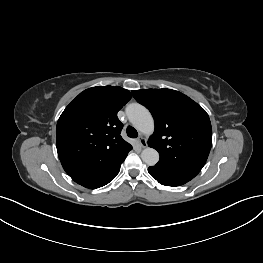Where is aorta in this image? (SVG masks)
<instances>
[{"label":"aorta","mask_w":263,"mask_h":263,"mask_svg":"<svg viewBox=\"0 0 263 263\" xmlns=\"http://www.w3.org/2000/svg\"><path fill=\"white\" fill-rule=\"evenodd\" d=\"M129 121L133 126L144 134H151L154 131V120L144 106L131 104L126 109ZM142 161L148 166H154L159 161V153L151 147H146L141 153Z\"/></svg>","instance_id":"obj_1"}]
</instances>
